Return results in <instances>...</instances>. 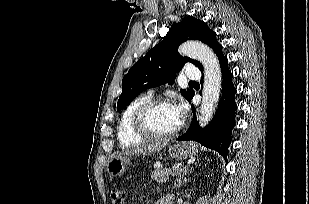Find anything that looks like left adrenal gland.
<instances>
[{
  "label": "left adrenal gland",
  "instance_id": "a2214340",
  "mask_svg": "<svg viewBox=\"0 0 309 204\" xmlns=\"http://www.w3.org/2000/svg\"><path fill=\"white\" fill-rule=\"evenodd\" d=\"M188 172H189V168L187 167L183 169L181 173L178 174V178L176 179V182H175L176 187H181L186 181L189 180V178L188 179L185 178Z\"/></svg>",
  "mask_w": 309,
  "mask_h": 204
}]
</instances>
